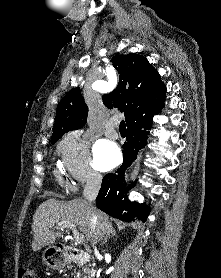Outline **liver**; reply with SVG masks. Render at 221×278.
Listing matches in <instances>:
<instances>
[{"instance_id":"6515ba94","label":"liver","mask_w":221,"mask_h":278,"mask_svg":"<svg viewBox=\"0 0 221 278\" xmlns=\"http://www.w3.org/2000/svg\"><path fill=\"white\" fill-rule=\"evenodd\" d=\"M93 214L96 215L97 222L94 234L91 236L90 225ZM63 221L76 224L86 237L87 243L95 244L97 241L103 240L113 230L109 217L85 200L60 201L51 198L41 203L33 216L32 250L34 252L39 251L63 236L60 231L53 230L54 225Z\"/></svg>"}]
</instances>
